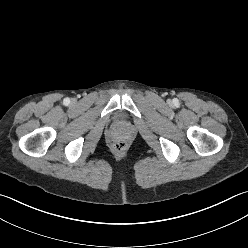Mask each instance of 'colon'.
Wrapping results in <instances>:
<instances>
[{
    "mask_svg": "<svg viewBox=\"0 0 248 248\" xmlns=\"http://www.w3.org/2000/svg\"><path fill=\"white\" fill-rule=\"evenodd\" d=\"M127 148V144L123 139H117L112 145V149L116 153H123Z\"/></svg>",
    "mask_w": 248,
    "mask_h": 248,
    "instance_id": "colon-1",
    "label": "colon"
}]
</instances>
